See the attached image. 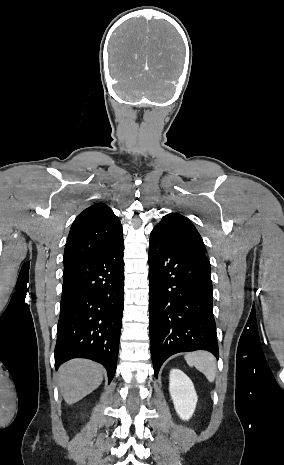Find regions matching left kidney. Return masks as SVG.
I'll return each mask as SVG.
<instances>
[{
  "label": "left kidney",
  "instance_id": "5707ae66",
  "mask_svg": "<svg viewBox=\"0 0 284 465\" xmlns=\"http://www.w3.org/2000/svg\"><path fill=\"white\" fill-rule=\"evenodd\" d=\"M169 379V391L175 411L182 421H189L198 401L194 385L191 379L179 369H172Z\"/></svg>",
  "mask_w": 284,
  "mask_h": 465
}]
</instances>
